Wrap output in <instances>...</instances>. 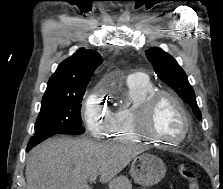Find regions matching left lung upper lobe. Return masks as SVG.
<instances>
[{
	"instance_id": "obj_1",
	"label": "left lung upper lobe",
	"mask_w": 223,
	"mask_h": 189,
	"mask_svg": "<svg viewBox=\"0 0 223 189\" xmlns=\"http://www.w3.org/2000/svg\"><path fill=\"white\" fill-rule=\"evenodd\" d=\"M145 54L153 65L157 76L174 89L192 107L196 117L201 120L202 115L196 102L194 90L189 84L184 70L178 65L176 60L157 47L147 50Z\"/></svg>"
}]
</instances>
